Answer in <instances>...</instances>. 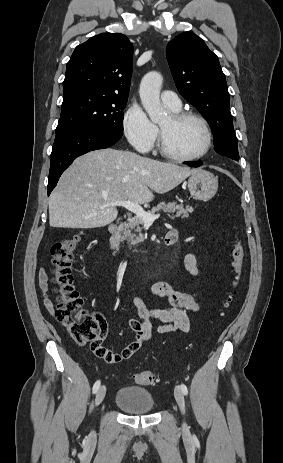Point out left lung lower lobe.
<instances>
[{"label":"left lung lower lobe","instance_id":"left-lung-lower-lobe-1","mask_svg":"<svg viewBox=\"0 0 283 463\" xmlns=\"http://www.w3.org/2000/svg\"><path fill=\"white\" fill-rule=\"evenodd\" d=\"M190 166H193V167H198V166H201L202 163L201 162H198V163H188Z\"/></svg>","mask_w":283,"mask_h":463}]
</instances>
